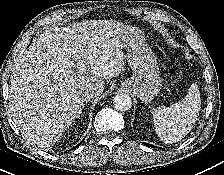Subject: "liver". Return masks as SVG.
I'll return each mask as SVG.
<instances>
[{
	"instance_id": "6515ba94",
	"label": "liver",
	"mask_w": 224,
	"mask_h": 175,
	"mask_svg": "<svg viewBox=\"0 0 224 175\" xmlns=\"http://www.w3.org/2000/svg\"><path fill=\"white\" fill-rule=\"evenodd\" d=\"M125 30L115 20H87L38 36L10 78V111L25 139L50 149L80 114L82 93L94 89L100 96L104 80L125 70Z\"/></svg>"
}]
</instances>
